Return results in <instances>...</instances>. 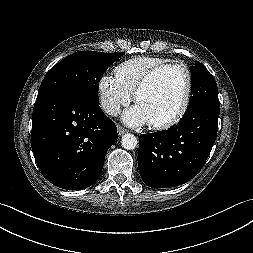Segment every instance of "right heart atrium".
I'll list each match as a JSON object with an SVG mask.
<instances>
[{"label": "right heart atrium", "mask_w": 253, "mask_h": 253, "mask_svg": "<svg viewBox=\"0 0 253 253\" xmlns=\"http://www.w3.org/2000/svg\"><path fill=\"white\" fill-rule=\"evenodd\" d=\"M100 104L103 110L111 116L119 113L122 106L127 105L132 94L124 89L113 77L104 75L101 77L99 84Z\"/></svg>", "instance_id": "obj_1"}]
</instances>
